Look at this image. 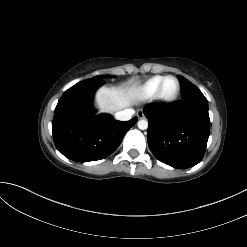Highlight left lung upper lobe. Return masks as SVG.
I'll return each instance as SVG.
<instances>
[{
	"mask_svg": "<svg viewBox=\"0 0 247 247\" xmlns=\"http://www.w3.org/2000/svg\"><path fill=\"white\" fill-rule=\"evenodd\" d=\"M178 79L181 83V95H183L190 88L196 87L194 84H192L189 80L181 75H178Z\"/></svg>",
	"mask_w": 247,
	"mask_h": 247,
	"instance_id": "1",
	"label": "left lung upper lobe"
}]
</instances>
